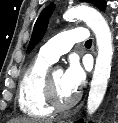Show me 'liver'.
<instances>
[{
	"mask_svg": "<svg viewBox=\"0 0 118 123\" xmlns=\"http://www.w3.org/2000/svg\"><path fill=\"white\" fill-rule=\"evenodd\" d=\"M9 123H52V120H39L32 118H16L9 121Z\"/></svg>",
	"mask_w": 118,
	"mask_h": 123,
	"instance_id": "6515ba94",
	"label": "liver"
}]
</instances>
